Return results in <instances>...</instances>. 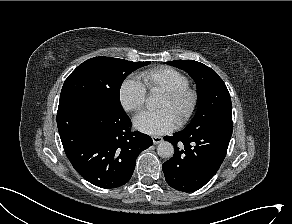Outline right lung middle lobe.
Instances as JSON below:
<instances>
[{
    "label": "right lung middle lobe",
    "instance_id": "1",
    "mask_svg": "<svg viewBox=\"0 0 292 224\" xmlns=\"http://www.w3.org/2000/svg\"><path fill=\"white\" fill-rule=\"evenodd\" d=\"M147 62H132L112 57H94L80 64L65 80L60 98L79 96L110 110L124 111L120 87L124 79Z\"/></svg>",
    "mask_w": 292,
    "mask_h": 224
}]
</instances>
